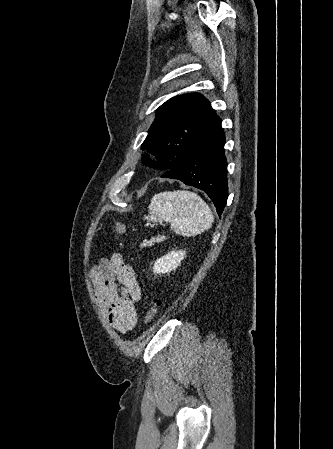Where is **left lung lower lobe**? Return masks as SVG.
Listing matches in <instances>:
<instances>
[{"label": "left lung lower lobe", "instance_id": "0a47b994", "mask_svg": "<svg viewBox=\"0 0 333 449\" xmlns=\"http://www.w3.org/2000/svg\"><path fill=\"white\" fill-rule=\"evenodd\" d=\"M225 134L221 119L214 110L203 123L183 163L165 172L172 178L203 190L213 201L221 216L228 198L227 160L224 153ZM143 161L154 166L148 157Z\"/></svg>", "mask_w": 333, "mask_h": 449}]
</instances>
